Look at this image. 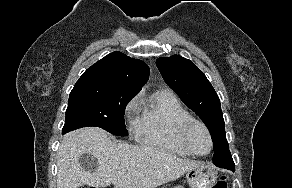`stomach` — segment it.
Wrapping results in <instances>:
<instances>
[{
	"label": "stomach",
	"instance_id": "stomach-1",
	"mask_svg": "<svg viewBox=\"0 0 292 188\" xmlns=\"http://www.w3.org/2000/svg\"><path fill=\"white\" fill-rule=\"evenodd\" d=\"M217 177L216 168L212 164L205 162H201L198 166L186 172V181L190 188H213Z\"/></svg>",
	"mask_w": 292,
	"mask_h": 188
}]
</instances>
